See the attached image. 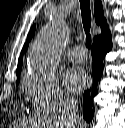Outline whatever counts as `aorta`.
Instances as JSON below:
<instances>
[{
	"mask_svg": "<svg viewBox=\"0 0 125 128\" xmlns=\"http://www.w3.org/2000/svg\"><path fill=\"white\" fill-rule=\"evenodd\" d=\"M68 37V26L62 19L53 20L36 38L29 62L38 72H54L61 50Z\"/></svg>",
	"mask_w": 125,
	"mask_h": 128,
	"instance_id": "1",
	"label": "aorta"
}]
</instances>
